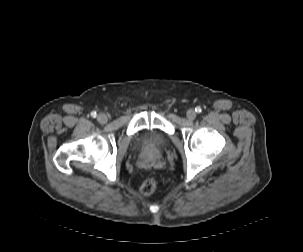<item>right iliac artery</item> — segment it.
<instances>
[{
	"label": "right iliac artery",
	"instance_id": "right-iliac-artery-1",
	"mask_svg": "<svg viewBox=\"0 0 303 252\" xmlns=\"http://www.w3.org/2000/svg\"><path fill=\"white\" fill-rule=\"evenodd\" d=\"M91 116L92 117H96L97 116V113L95 111L91 112Z\"/></svg>",
	"mask_w": 303,
	"mask_h": 252
}]
</instances>
